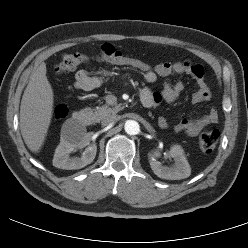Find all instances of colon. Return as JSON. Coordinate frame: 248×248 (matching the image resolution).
I'll return each mask as SVG.
<instances>
[{"label": "colon", "mask_w": 248, "mask_h": 248, "mask_svg": "<svg viewBox=\"0 0 248 248\" xmlns=\"http://www.w3.org/2000/svg\"><path fill=\"white\" fill-rule=\"evenodd\" d=\"M93 60L128 66L140 72L152 69V66L147 62L135 57L127 56L110 44H103L99 53L95 56H88L81 53L64 54L60 62L57 64L56 70L60 74L71 73L79 66L87 64ZM67 114L68 109L65 105L56 106L54 110V116L56 119H63ZM218 139L219 132L217 130L205 132L199 138V146L204 152L210 153L216 147Z\"/></svg>", "instance_id": "5ec220e1"}]
</instances>
